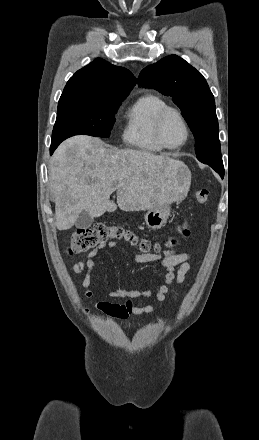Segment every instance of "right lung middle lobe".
Here are the masks:
<instances>
[{
    "mask_svg": "<svg viewBox=\"0 0 259 440\" xmlns=\"http://www.w3.org/2000/svg\"><path fill=\"white\" fill-rule=\"evenodd\" d=\"M124 99L98 103L60 98L52 142L61 143L66 138L78 134L109 137L115 121L114 114Z\"/></svg>",
    "mask_w": 259,
    "mask_h": 440,
    "instance_id": "1",
    "label": "right lung middle lobe"
}]
</instances>
